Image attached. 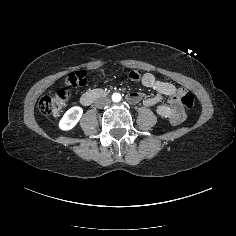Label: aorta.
<instances>
[{
  "label": "aorta",
  "mask_w": 236,
  "mask_h": 236,
  "mask_svg": "<svg viewBox=\"0 0 236 236\" xmlns=\"http://www.w3.org/2000/svg\"><path fill=\"white\" fill-rule=\"evenodd\" d=\"M112 100H113L114 102H120V101H121V95H120L119 93H114V94L112 95Z\"/></svg>",
  "instance_id": "1"
}]
</instances>
